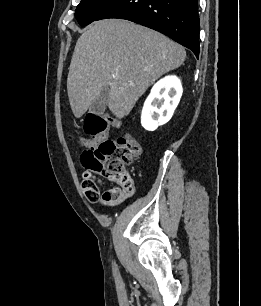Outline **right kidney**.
<instances>
[{
    "instance_id": "obj_1",
    "label": "right kidney",
    "mask_w": 261,
    "mask_h": 306,
    "mask_svg": "<svg viewBox=\"0 0 261 306\" xmlns=\"http://www.w3.org/2000/svg\"><path fill=\"white\" fill-rule=\"evenodd\" d=\"M181 81L176 76H166L151 89L141 114V124L148 131H154L167 123L182 96Z\"/></svg>"
}]
</instances>
